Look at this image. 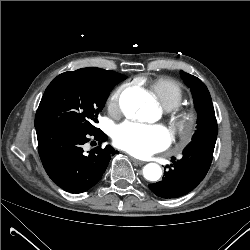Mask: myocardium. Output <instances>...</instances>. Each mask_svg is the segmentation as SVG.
<instances>
[{
    "instance_id": "1",
    "label": "myocardium",
    "mask_w": 250,
    "mask_h": 250,
    "mask_svg": "<svg viewBox=\"0 0 250 250\" xmlns=\"http://www.w3.org/2000/svg\"><path fill=\"white\" fill-rule=\"evenodd\" d=\"M168 121L172 131L180 138L181 144L185 145L194 134L197 113L191 108L178 105L169 111Z\"/></svg>"
}]
</instances>
